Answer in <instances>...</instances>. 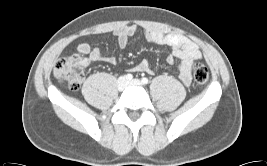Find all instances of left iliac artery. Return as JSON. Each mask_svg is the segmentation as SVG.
Segmentation results:
<instances>
[{"mask_svg":"<svg viewBox=\"0 0 267 166\" xmlns=\"http://www.w3.org/2000/svg\"><path fill=\"white\" fill-rule=\"evenodd\" d=\"M142 82H143V83H147V79H146V78H143V79H142Z\"/></svg>","mask_w":267,"mask_h":166,"instance_id":"left-iliac-artery-1","label":"left iliac artery"}]
</instances>
